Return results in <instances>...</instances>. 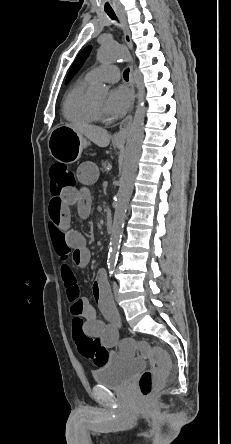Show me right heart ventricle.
I'll use <instances>...</instances> for the list:
<instances>
[{
	"instance_id": "right-heart-ventricle-1",
	"label": "right heart ventricle",
	"mask_w": 231,
	"mask_h": 444,
	"mask_svg": "<svg viewBox=\"0 0 231 444\" xmlns=\"http://www.w3.org/2000/svg\"><path fill=\"white\" fill-rule=\"evenodd\" d=\"M92 82L85 77L78 80L68 91L63 103V115L74 123H93L98 119L94 104L87 98L86 91Z\"/></svg>"
}]
</instances>
